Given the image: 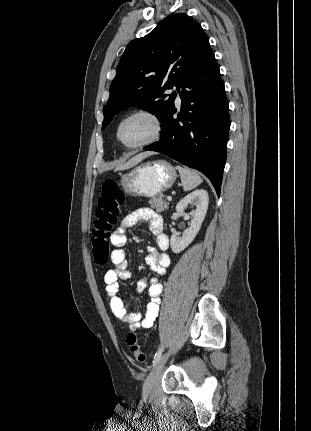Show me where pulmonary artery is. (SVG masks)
Returning <instances> with one entry per match:
<instances>
[{
    "label": "pulmonary artery",
    "mask_w": 311,
    "mask_h": 431,
    "mask_svg": "<svg viewBox=\"0 0 311 431\" xmlns=\"http://www.w3.org/2000/svg\"><path fill=\"white\" fill-rule=\"evenodd\" d=\"M169 93H175L176 94V103L180 104L181 103V96H180V91L178 90L177 87H172L170 90H168Z\"/></svg>",
    "instance_id": "e3ab8cb5"
}]
</instances>
